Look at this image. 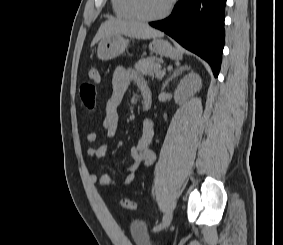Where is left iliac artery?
<instances>
[{
    "label": "left iliac artery",
    "mask_w": 283,
    "mask_h": 245,
    "mask_svg": "<svg viewBox=\"0 0 283 245\" xmlns=\"http://www.w3.org/2000/svg\"><path fill=\"white\" fill-rule=\"evenodd\" d=\"M152 194L154 195V187L152 188ZM164 219H165V217L163 218V220H162L159 224H157V225L153 228L154 231H160V229H161L162 226H163Z\"/></svg>",
    "instance_id": "44dca946"
}]
</instances>
